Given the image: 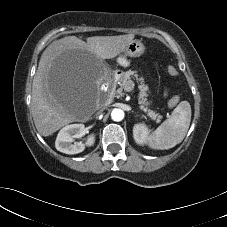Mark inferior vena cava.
<instances>
[{
	"label": "inferior vena cava",
	"instance_id": "1",
	"mask_svg": "<svg viewBox=\"0 0 227 227\" xmlns=\"http://www.w3.org/2000/svg\"><path fill=\"white\" fill-rule=\"evenodd\" d=\"M108 105V103H104V104H100L97 106L98 109V113H101L103 110H105L106 106Z\"/></svg>",
	"mask_w": 227,
	"mask_h": 227
}]
</instances>
